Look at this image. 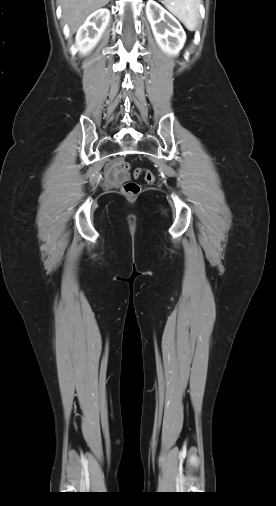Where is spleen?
<instances>
[{
  "mask_svg": "<svg viewBox=\"0 0 276 506\" xmlns=\"http://www.w3.org/2000/svg\"><path fill=\"white\" fill-rule=\"evenodd\" d=\"M162 2L188 30H196L200 17V0H162Z\"/></svg>",
  "mask_w": 276,
  "mask_h": 506,
  "instance_id": "1",
  "label": "spleen"
}]
</instances>
